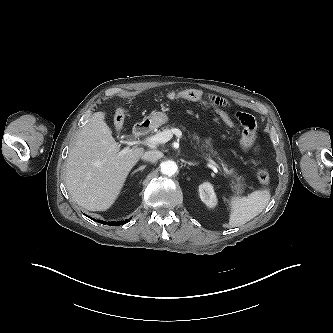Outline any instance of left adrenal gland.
<instances>
[{"label":"left adrenal gland","mask_w":333,"mask_h":333,"mask_svg":"<svg viewBox=\"0 0 333 333\" xmlns=\"http://www.w3.org/2000/svg\"><path fill=\"white\" fill-rule=\"evenodd\" d=\"M187 163H188L189 166H196V165L199 164L198 162H191V161H189Z\"/></svg>","instance_id":"a2214340"}]
</instances>
